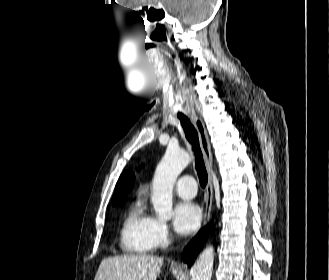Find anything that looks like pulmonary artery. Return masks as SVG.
Here are the masks:
<instances>
[{
    "instance_id": "obj_1",
    "label": "pulmonary artery",
    "mask_w": 329,
    "mask_h": 280,
    "mask_svg": "<svg viewBox=\"0 0 329 280\" xmlns=\"http://www.w3.org/2000/svg\"><path fill=\"white\" fill-rule=\"evenodd\" d=\"M176 193L184 199H192L196 195L197 185L191 175L180 177L175 184Z\"/></svg>"
}]
</instances>
